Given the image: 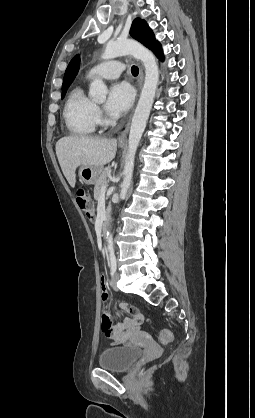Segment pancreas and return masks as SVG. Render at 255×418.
<instances>
[{
	"label": "pancreas",
	"mask_w": 255,
	"mask_h": 418,
	"mask_svg": "<svg viewBox=\"0 0 255 418\" xmlns=\"http://www.w3.org/2000/svg\"><path fill=\"white\" fill-rule=\"evenodd\" d=\"M110 167L103 169L97 180L94 182V198L95 200L101 195V188L107 186L108 180L107 177L110 173Z\"/></svg>",
	"instance_id": "1"
}]
</instances>
